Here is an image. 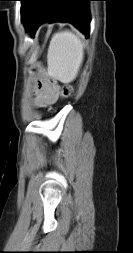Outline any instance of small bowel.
Instances as JSON below:
<instances>
[{"instance_id": "small-bowel-1", "label": "small bowel", "mask_w": 133, "mask_h": 253, "mask_svg": "<svg viewBox=\"0 0 133 253\" xmlns=\"http://www.w3.org/2000/svg\"><path fill=\"white\" fill-rule=\"evenodd\" d=\"M40 72V71H39ZM60 95V85L55 80H40L35 87L33 104L46 107L54 104Z\"/></svg>"}]
</instances>
